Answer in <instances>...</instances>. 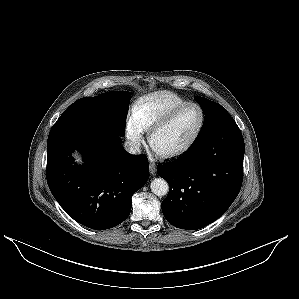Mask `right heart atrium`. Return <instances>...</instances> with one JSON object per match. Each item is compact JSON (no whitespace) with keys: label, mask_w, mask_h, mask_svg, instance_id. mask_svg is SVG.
Returning a JSON list of instances; mask_svg holds the SVG:
<instances>
[{"label":"right heart atrium","mask_w":299,"mask_h":299,"mask_svg":"<svg viewBox=\"0 0 299 299\" xmlns=\"http://www.w3.org/2000/svg\"><path fill=\"white\" fill-rule=\"evenodd\" d=\"M145 128L134 116V114L128 116L125 125L126 138L135 151H138L144 140Z\"/></svg>","instance_id":"d8ad5b80"}]
</instances>
